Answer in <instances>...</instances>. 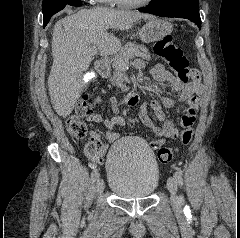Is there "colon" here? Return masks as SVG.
I'll list each match as a JSON object with an SVG mask.
<instances>
[{
    "instance_id": "obj_1",
    "label": "colon",
    "mask_w": 240,
    "mask_h": 238,
    "mask_svg": "<svg viewBox=\"0 0 240 238\" xmlns=\"http://www.w3.org/2000/svg\"><path fill=\"white\" fill-rule=\"evenodd\" d=\"M157 55L167 61L170 68L176 74V78L181 82H187L192 76V70L188 68V60L182 50L176 46L173 39L169 36L157 41L154 46ZM91 102L88 97L80 99L75 111L66 121V127L70 135L76 139H83L88 134L87 125L84 118L90 114ZM194 130L192 126L185 127L180 134V142L182 145H188L193 137ZM104 146L99 134L90 136L89 141L85 146V154L94 161H98V155L101 153V148ZM176 148L163 147L157 152L158 160L161 163H168L172 160Z\"/></svg>"
}]
</instances>
